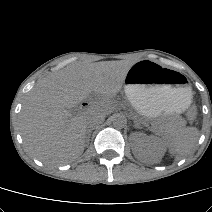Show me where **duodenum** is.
<instances>
[{
	"label": "duodenum",
	"mask_w": 212,
	"mask_h": 212,
	"mask_svg": "<svg viewBox=\"0 0 212 212\" xmlns=\"http://www.w3.org/2000/svg\"><path fill=\"white\" fill-rule=\"evenodd\" d=\"M83 109H88L90 107V103L89 102H83L82 105Z\"/></svg>",
	"instance_id": "1"
}]
</instances>
